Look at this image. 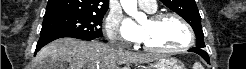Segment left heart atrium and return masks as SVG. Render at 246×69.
Wrapping results in <instances>:
<instances>
[{"mask_svg":"<svg viewBox=\"0 0 246 69\" xmlns=\"http://www.w3.org/2000/svg\"><path fill=\"white\" fill-rule=\"evenodd\" d=\"M124 36L127 40L131 42H139L143 38L142 29L134 26L132 21H128L126 27L124 28Z\"/></svg>","mask_w":246,"mask_h":69,"instance_id":"39dd6f15","label":"left heart atrium"}]
</instances>
